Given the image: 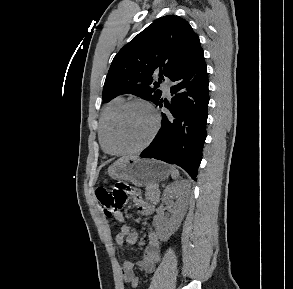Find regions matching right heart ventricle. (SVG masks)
Returning <instances> with one entry per match:
<instances>
[{
	"instance_id": "obj_1",
	"label": "right heart ventricle",
	"mask_w": 293,
	"mask_h": 289,
	"mask_svg": "<svg viewBox=\"0 0 293 289\" xmlns=\"http://www.w3.org/2000/svg\"><path fill=\"white\" fill-rule=\"evenodd\" d=\"M124 102H125L124 97L122 96L115 97L111 102L107 104V106L104 108L101 114L100 121H99V128H98V137L104 151H105V132H106L109 119L111 118L115 110Z\"/></svg>"
}]
</instances>
